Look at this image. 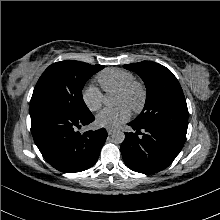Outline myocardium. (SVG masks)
<instances>
[{
	"label": "myocardium",
	"mask_w": 220,
	"mask_h": 220,
	"mask_svg": "<svg viewBox=\"0 0 220 220\" xmlns=\"http://www.w3.org/2000/svg\"><path fill=\"white\" fill-rule=\"evenodd\" d=\"M116 93L125 97H130L133 94H137L138 100L131 106V109L135 113H140L144 109L147 101V90L142 82L133 80L123 88L119 89Z\"/></svg>",
	"instance_id": "1"
}]
</instances>
